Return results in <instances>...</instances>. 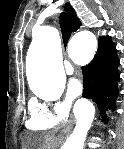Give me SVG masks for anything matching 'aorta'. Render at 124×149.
I'll use <instances>...</instances> for the list:
<instances>
[{
  "instance_id": "1",
  "label": "aorta",
  "mask_w": 124,
  "mask_h": 149,
  "mask_svg": "<svg viewBox=\"0 0 124 149\" xmlns=\"http://www.w3.org/2000/svg\"><path fill=\"white\" fill-rule=\"evenodd\" d=\"M95 35L87 30L73 36L69 43L71 49L93 53L96 49ZM36 62L29 74L32 92L46 100L57 99L65 86V72L60 59L61 47L58 32L52 27H45L34 45ZM95 116V108L87 99H81L76 105V126L65 142L63 149H83L87 133Z\"/></svg>"
}]
</instances>
